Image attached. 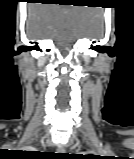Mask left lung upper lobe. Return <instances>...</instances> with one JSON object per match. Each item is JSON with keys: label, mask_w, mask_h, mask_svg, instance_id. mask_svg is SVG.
Here are the masks:
<instances>
[{"label": "left lung upper lobe", "mask_w": 134, "mask_h": 159, "mask_svg": "<svg viewBox=\"0 0 134 159\" xmlns=\"http://www.w3.org/2000/svg\"><path fill=\"white\" fill-rule=\"evenodd\" d=\"M74 158L75 159H99V157L95 155H77Z\"/></svg>", "instance_id": "left-lung-upper-lobe-1"}]
</instances>
